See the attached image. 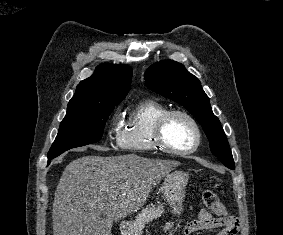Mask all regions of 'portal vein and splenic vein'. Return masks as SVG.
I'll use <instances>...</instances> for the list:
<instances>
[{
    "mask_svg": "<svg viewBox=\"0 0 283 235\" xmlns=\"http://www.w3.org/2000/svg\"><path fill=\"white\" fill-rule=\"evenodd\" d=\"M122 192H125L127 190V188L125 187H121Z\"/></svg>",
    "mask_w": 283,
    "mask_h": 235,
    "instance_id": "1",
    "label": "portal vein and splenic vein"
}]
</instances>
